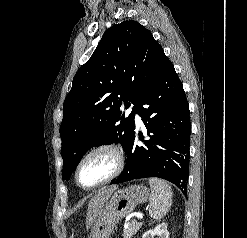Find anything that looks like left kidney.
Segmentation results:
<instances>
[{"label": "left kidney", "instance_id": "5707ae66", "mask_svg": "<svg viewBox=\"0 0 247 238\" xmlns=\"http://www.w3.org/2000/svg\"><path fill=\"white\" fill-rule=\"evenodd\" d=\"M156 236L158 238H169V232L167 230L166 223H161L154 229L145 232L142 238H155Z\"/></svg>", "mask_w": 247, "mask_h": 238}]
</instances>
